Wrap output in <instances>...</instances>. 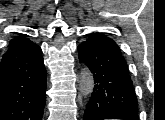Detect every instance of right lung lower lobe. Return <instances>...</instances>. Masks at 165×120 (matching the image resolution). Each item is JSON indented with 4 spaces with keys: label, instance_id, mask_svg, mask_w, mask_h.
<instances>
[{
    "label": "right lung lower lobe",
    "instance_id": "obj_1",
    "mask_svg": "<svg viewBox=\"0 0 165 120\" xmlns=\"http://www.w3.org/2000/svg\"><path fill=\"white\" fill-rule=\"evenodd\" d=\"M46 82L41 48L23 36L12 39L0 63V120H41Z\"/></svg>",
    "mask_w": 165,
    "mask_h": 120
}]
</instances>
